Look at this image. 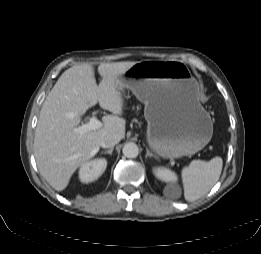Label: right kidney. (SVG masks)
Segmentation results:
<instances>
[{"instance_id":"obj_1","label":"right kidney","mask_w":261,"mask_h":254,"mask_svg":"<svg viewBox=\"0 0 261 254\" xmlns=\"http://www.w3.org/2000/svg\"><path fill=\"white\" fill-rule=\"evenodd\" d=\"M107 160L97 158L81 165L79 170V179L83 183H90L98 179L106 170Z\"/></svg>"}]
</instances>
